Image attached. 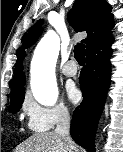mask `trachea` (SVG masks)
<instances>
[{"instance_id":"obj_1","label":"trachea","mask_w":123,"mask_h":152,"mask_svg":"<svg viewBox=\"0 0 123 152\" xmlns=\"http://www.w3.org/2000/svg\"><path fill=\"white\" fill-rule=\"evenodd\" d=\"M84 49H85V46L83 44L75 45L74 57L79 64H83L85 62Z\"/></svg>"}]
</instances>
